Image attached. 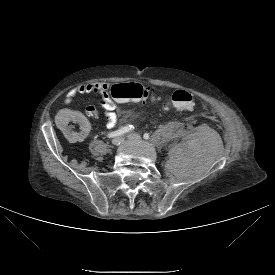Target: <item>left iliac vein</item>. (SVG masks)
Returning a JSON list of instances; mask_svg holds the SVG:
<instances>
[{"mask_svg":"<svg viewBox=\"0 0 275 275\" xmlns=\"http://www.w3.org/2000/svg\"><path fill=\"white\" fill-rule=\"evenodd\" d=\"M127 137L130 140H138V141L141 140L140 135L137 133H130Z\"/></svg>","mask_w":275,"mask_h":275,"instance_id":"left-iliac-vein-1","label":"left iliac vein"}]
</instances>
